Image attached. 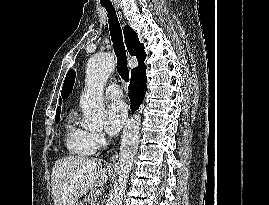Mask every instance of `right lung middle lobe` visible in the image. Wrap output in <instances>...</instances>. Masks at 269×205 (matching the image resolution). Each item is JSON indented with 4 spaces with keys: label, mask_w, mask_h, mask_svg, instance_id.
I'll list each match as a JSON object with an SVG mask.
<instances>
[{
    "label": "right lung middle lobe",
    "mask_w": 269,
    "mask_h": 205,
    "mask_svg": "<svg viewBox=\"0 0 269 205\" xmlns=\"http://www.w3.org/2000/svg\"><path fill=\"white\" fill-rule=\"evenodd\" d=\"M60 116H56V123L59 122Z\"/></svg>",
    "instance_id": "right-lung-middle-lobe-1"
}]
</instances>
